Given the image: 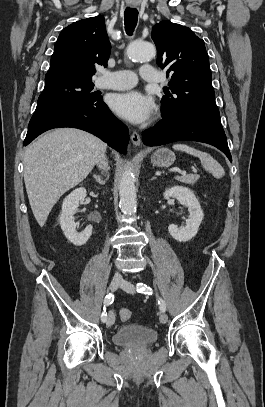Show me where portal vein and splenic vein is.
Instances as JSON below:
<instances>
[{"instance_id":"18ae733b","label":"portal vein and splenic vein","mask_w":265,"mask_h":407,"mask_svg":"<svg viewBox=\"0 0 265 407\" xmlns=\"http://www.w3.org/2000/svg\"><path fill=\"white\" fill-rule=\"evenodd\" d=\"M195 171V170H194ZM179 173H181V174H185L186 172L185 171H178Z\"/></svg>"}]
</instances>
